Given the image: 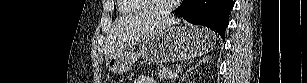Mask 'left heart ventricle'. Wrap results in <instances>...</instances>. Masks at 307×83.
Masks as SVG:
<instances>
[{
  "label": "left heart ventricle",
  "mask_w": 307,
  "mask_h": 83,
  "mask_svg": "<svg viewBox=\"0 0 307 83\" xmlns=\"http://www.w3.org/2000/svg\"><path fill=\"white\" fill-rule=\"evenodd\" d=\"M172 2V0H152L150 1V5L154 9L165 7L168 3Z\"/></svg>",
  "instance_id": "obj_1"
}]
</instances>
